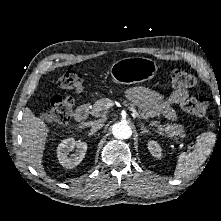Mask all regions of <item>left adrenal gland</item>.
I'll list each match as a JSON object with an SVG mask.
<instances>
[{"mask_svg": "<svg viewBox=\"0 0 221 221\" xmlns=\"http://www.w3.org/2000/svg\"><path fill=\"white\" fill-rule=\"evenodd\" d=\"M141 130V133H150L149 130L143 124H141Z\"/></svg>", "mask_w": 221, "mask_h": 221, "instance_id": "left-adrenal-gland-1", "label": "left adrenal gland"}]
</instances>
